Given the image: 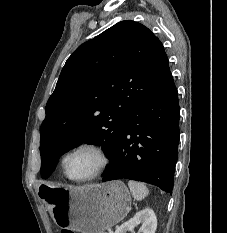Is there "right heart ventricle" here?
Masks as SVG:
<instances>
[{
	"mask_svg": "<svg viewBox=\"0 0 227 233\" xmlns=\"http://www.w3.org/2000/svg\"><path fill=\"white\" fill-rule=\"evenodd\" d=\"M64 158H65V156H64ZM64 158L62 159V166H63Z\"/></svg>",
	"mask_w": 227,
	"mask_h": 233,
	"instance_id": "obj_1",
	"label": "right heart ventricle"
}]
</instances>
